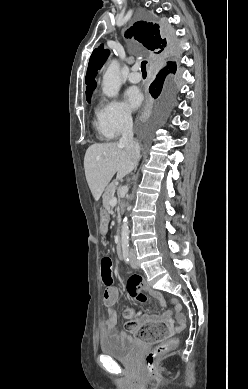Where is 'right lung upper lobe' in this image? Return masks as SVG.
<instances>
[{"label":"right lung upper lobe","mask_w":248,"mask_h":389,"mask_svg":"<svg viewBox=\"0 0 248 389\" xmlns=\"http://www.w3.org/2000/svg\"><path fill=\"white\" fill-rule=\"evenodd\" d=\"M126 38L133 37L138 42L152 52L156 57L161 59L165 66L157 75L153 84L162 80V78L176 66L175 60L178 57L179 50L177 45L172 47L165 35L164 28L156 23L139 21L136 22L126 33ZM109 55V50L103 49V44L96 48L88 64L85 82L87 84L86 98L91 97L93 90L96 87L94 78L97 75V70L102 67Z\"/></svg>","instance_id":"1"}]
</instances>
